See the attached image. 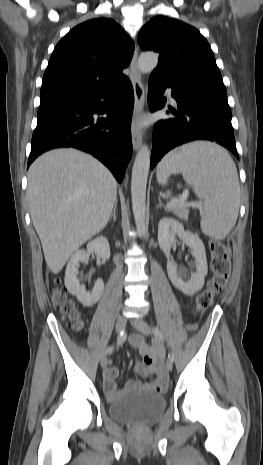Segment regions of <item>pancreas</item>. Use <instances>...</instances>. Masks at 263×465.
Instances as JSON below:
<instances>
[{
  "label": "pancreas",
  "mask_w": 263,
  "mask_h": 465,
  "mask_svg": "<svg viewBox=\"0 0 263 465\" xmlns=\"http://www.w3.org/2000/svg\"><path fill=\"white\" fill-rule=\"evenodd\" d=\"M175 215H177L180 219L182 220H187L188 214H189V209L185 205H181L173 209L172 211Z\"/></svg>",
  "instance_id": "obj_1"
}]
</instances>
